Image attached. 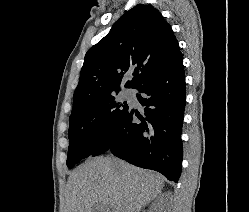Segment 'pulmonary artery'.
I'll use <instances>...</instances> for the list:
<instances>
[{
  "label": "pulmonary artery",
  "instance_id": "pulmonary-artery-1",
  "mask_svg": "<svg viewBox=\"0 0 249 212\" xmlns=\"http://www.w3.org/2000/svg\"><path fill=\"white\" fill-rule=\"evenodd\" d=\"M124 96L126 98L134 99L135 98V93L133 92V90H125L124 91Z\"/></svg>",
  "mask_w": 249,
  "mask_h": 212
}]
</instances>
